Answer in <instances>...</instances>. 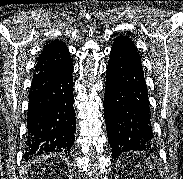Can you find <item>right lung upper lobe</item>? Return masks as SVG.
Wrapping results in <instances>:
<instances>
[{"mask_svg":"<svg viewBox=\"0 0 183 179\" xmlns=\"http://www.w3.org/2000/svg\"><path fill=\"white\" fill-rule=\"evenodd\" d=\"M34 72H58L73 66L65 43L55 40L46 43L37 59Z\"/></svg>","mask_w":183,"mask_h":179,"instance_id":"1","label":"right lung upper lobe"}]
</instances>
